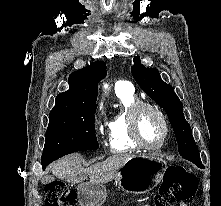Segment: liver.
<instances>
[{"label":"liver","mask_w":221,"mask_h":206,"mask_svg":"<svg viewBox=\"0 0 221 206\" xmlns=\"http://www.w3.org/2000/svg\"><path fill=\"white\" fill-rule=\"evenodd\" d=\"M133 156L113 155L106 160L88 168L81 165V156L71 154L54 163L51 167L53 175L70 183H81L87 177L93 183L103 184L112 181L122 166ZM53 177H45L42 183L52 181Z\"/></svg>","instance_id":"1"}]
</instances>
